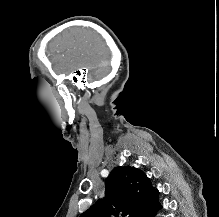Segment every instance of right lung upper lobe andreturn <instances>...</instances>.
<instances>
[{
	"instance_id": "right-lung-upper-lobe-1",
	"label": "right lung upper lobe",
	"mask_w": 219,
	"mask_h": 217,
	"mask_svg": "<svg viewBox=\"0 0 219 217\" xmlns=\"http://www.w3.org/2000/svg\"><path fill=\"white\" fill-rule=\"evenodd\" d=\"M159 192L150 179L135 167L114 168L105 183V198L80 217H154L160 208Z\"/></svg>"
}]
</instances>
